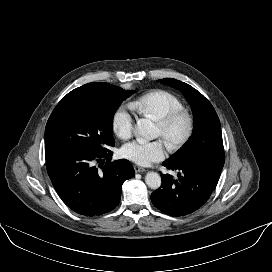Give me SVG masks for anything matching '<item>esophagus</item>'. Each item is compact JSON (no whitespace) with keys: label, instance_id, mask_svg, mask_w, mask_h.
<instances>
[{"label":"esophagus","instance_id":"esophagus-1","mask_svg":"<svg viewBox=\"0 0 272 272\" xmlns=\"http://www.w3.org/2000/svg\"><path fill=\"white\" fill-rule=\"evenodd\" d=\"M134 170H135L136 173H141V172H145V171H146L145 168L140 167V166H138V165H135V166H134Z\"/></svg>","mask_w":272,"mask_h":272}]
</instances>
